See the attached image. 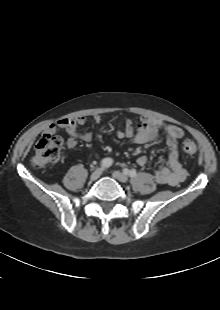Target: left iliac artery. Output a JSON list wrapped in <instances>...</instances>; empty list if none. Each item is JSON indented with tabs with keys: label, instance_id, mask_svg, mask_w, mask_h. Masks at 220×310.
I'll return each mask as SVG.
<instances>
[{
	"label": "left iliac artery",
	"instance_id": "obj_1",
	"mask_svg": "<svg viewBox=\"0 0 220 310\" xmlns=\"http://www.w3.org/2000/svg\"><path fill=\"white\" fill-rule=\"evenodd\" d=\"M130 177H135L137 175V172L135 169L129 170L126 172Z\"/></svg>",
	"mask_w": 220,
	"mask_h": 310
}]
</instances>
